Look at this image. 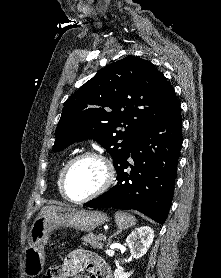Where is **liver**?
<instances>
[{
  "mask_svg": "<svg viewBox=\"0 0 221 278\" xmlns=\"http://www.w3.org/2000/svg\"><path fill=\"white\" fill-rule=\"evenodd\" d=\"M66 211L65 208L63 207H57V206H44L42 209H41V212L40 214L42 213H58V212H64Z\"/></svg>",
  "mask_w": 221,
  "mask_h": 278,
  "instance_id": "obj_1",
  "label": "liver"
}]
</instances>
